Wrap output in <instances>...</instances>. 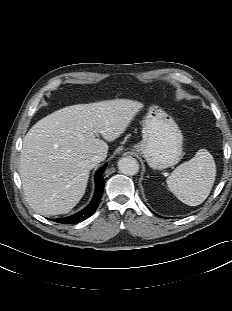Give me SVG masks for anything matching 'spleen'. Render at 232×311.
Returning a JSON list of instances; mask_svg holds the SVG:
<instances>
[{
  "label": "spleen",
  "instance_id": "obj_1",
  "mask_svg": "<svg viewBox=\"0 0 232 311\" xmlns=\"http://www.w3.org/2000/svg\"><path fill=\"white\" fill-rule=\"evenodd\" d=\"M216 177V165L205 149L176 167L166 182L170 191L183 203L197 206L209 196Z\"/></svg>",
  "mask_w": 232,
  "mask_h": 311
}]
</instances>
